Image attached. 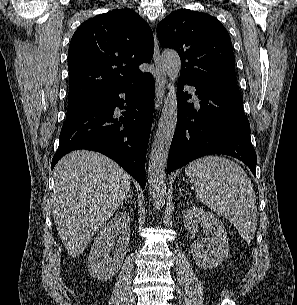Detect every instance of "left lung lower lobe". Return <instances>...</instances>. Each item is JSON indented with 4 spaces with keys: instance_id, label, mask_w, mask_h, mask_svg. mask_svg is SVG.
<instances>
[{
    "instance_id": "left-lung-lower-lobe-1",
    "label": "left lung lower lobe",
    "mask_w": 297,
    "mask_h": 305,
    "mask_svg": "<svg viewBox=\"0 0 297 305\" xmlns=\"http://www.w3.org/2000/svg\"><path fill=\"white\" fill-rule=\"evenodd\" d=\"M185 84L196 88L200 106L187 102L191 95L183 92ZM177 98V126L167 173L204 155L226 154L244 162L256 176L257 156L236 80L196 84L180 77Z\"/></svg>"
}]
</instances>
